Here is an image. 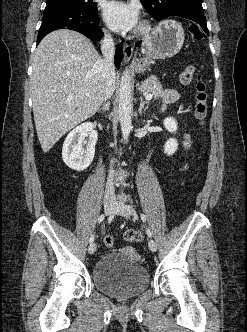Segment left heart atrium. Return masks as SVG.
Masks as SVG:
<instances>
[{
    "label": "left heart atrium",
    "instance_id": "39dd6f15",
    "mask_svg": "<svg viewBox=\"0 0 247 332\" xmlns=\"http://www.w3.org/2000/svg\"><path fill=\"white\" fill-rule=\"evenodd\" d=\"M104 19L115 31L127 32L139 23V9L134 3L124 1L108 2L104 8Z\"/></svg>",
    "mask_w": 247,
    "mask_h": 332
}]
</instances>
